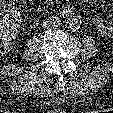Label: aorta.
Segmentation results:
<instances>
[{
	"label": "aorta",
	"mask_w": 113,
	"mask_h": 113,
	"mask_svg": "<svg viewBox=\"0 0 113 113\" xmlns=\"http://www.w3.org/2000/svg\"><path fill=\"white\" fill-rule=\"evenodd\" d=\"M82 21L81 18L79 16H71L69 17L68 21H67V25L70 29L72 30H77L81 27Z\"/></svg>",
	"instance_id": "1"
}]
</instances>
